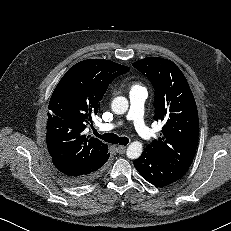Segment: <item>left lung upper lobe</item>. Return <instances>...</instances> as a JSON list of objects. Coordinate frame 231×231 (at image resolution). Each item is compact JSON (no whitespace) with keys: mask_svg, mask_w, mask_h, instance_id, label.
I'll return each mask as SVG.
<instances>
[{"mask_svg":"<svg viewBox=\"0 0 231 231\" xmlns=\"http://www.w3.org/2000/svg\"><path fill=\"white\" fill-rule=\"evenodd\" d=\"M155 89L154 119L163 121L162 136L145 151L164 162L190 167L198 144V111L189 84L170 60L147 57L132 64Z\"/></svg>","mask_w":231,"mask_h":231,"instance_id":"1","label":"left lung upper lobe"}]
</instances>
